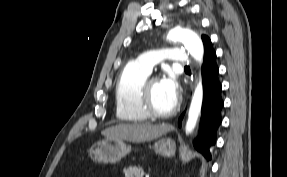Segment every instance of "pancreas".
Returning <instances> with one entry per match:
<instances>
[{
  "label": "pancreas",
  "mask_w": 287,
  "mask_h": 177,
  "mask_svg": "<svg viewBox=\"0 0 287 177\" xmlns=\"http://www.w3.org/2000/svg\"><path fill=\"white\" fill-rule=\"evenodd\" d=\"M123 173L125 174V177H143L144 175V172L140 167L124 168Z\"/></svg>",
  "instance_id": "obj_1"
}]
</instances>
